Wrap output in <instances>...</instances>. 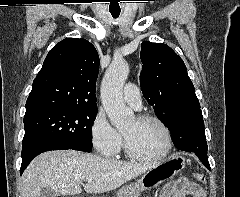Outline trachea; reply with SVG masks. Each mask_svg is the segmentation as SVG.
Segmentation results:
<instances>
[{
  "instance_id": "3493384b",
  "label": "trachea",
  "mask_w": 240,
  "mask_h": 197,
  "mask_svg": "<svg viewBox=\"0 0 240 197\" xmlns=\"http://www.w3.org/2000/svg\"><path fill=\"white\" fill-rule=\"evenodd\" d=\"M120 12H111V15L113 18H117L119 16Z\"/></svg>"
}]
</instances>
